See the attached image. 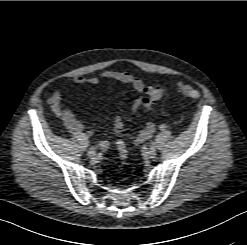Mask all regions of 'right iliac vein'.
<instances>
[{
  "label": "right iliac vein",
  "mask_w": 247,
  "mask_h": 245,
  "mask_svg": "<svg viewBox=\"0 0 247 245\" xmlns=\"http://www.w3.org/2000/svg\"><path fill=\"white\" fill-rule=\"evenodd\" d=\"M87 154H88L89 157H94L96 155V152L92 151V150H89Z\"/></svg>",
  "instance_id": "right-iliac-vein-1"
}]
</instances>
